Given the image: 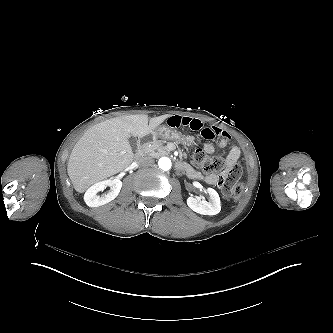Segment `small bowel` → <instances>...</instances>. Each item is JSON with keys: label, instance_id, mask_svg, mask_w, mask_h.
Returning a JSON list of instances; mask_svg holds the SVG:
<instances>
[{"label": "small bowel", "instance_id": "c3829d8e", "mask_svg": "<svg viewBox=\"0 0 333 333\" xmlns=\"http://www.w3.org/2000/svg\"><path fill=\"white\" fill-rule=\"evenodd\" d=\"M165 124L171 128H188L193 131H197L203 138H207L211 140L212 138H220L217 143H207L204 146V151L207 154H213L217 149L223 148L229 144L230 137L229 135L223 131L221 128L217 126H208L205 124L203 120L193 116L186 115H173L168 117L165 120ZM241 156V149L236 144L230 145L229 153L226 157V163L228 166H232L236 164ZM182 166H187L191 169V171L197 175L196 179H204L207 184L215 185L218 182V177L216 175H207L202 176L198 171L191 168L189 165L182 164Z\"/></svg>", "mask_w": 333, "mask_h": 333}]
</instances>
